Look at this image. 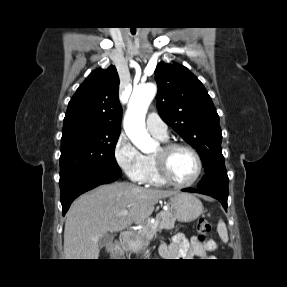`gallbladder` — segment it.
Wrapping results in <instances>:
<instances>
[{
    "label": "gallbladder",
    "instance_id": "bac80fb5",
    "mask_svg": "<svg viewBox=\"0 0 287 287\" xmlns=\"http://www.w3.org/2000/svg\"><path fill=\"white\" fill-rule=\"evenodd\" d=\"M114 239V236L112 233H106L100 240H99V247L103 248L109 243H111Z\"/></svg>",
    "mask_w": 287,
    "mask_h": 287
}]
</instances>
